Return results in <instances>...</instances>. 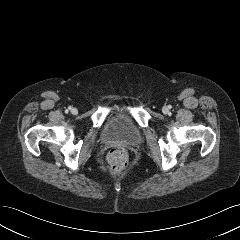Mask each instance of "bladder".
<instances>
[{
    "label": "bladder",
    "mask_w": 240,
    "mask_h": 240,
    "mask_svg": "<svg viewBox=\"0 0 240 240\" xmlns=\"http://www.w3.org/2000/svg\"><path fill=\"white\" fill-rule=\"evenodd\" d=\"M102 137L106 141H119L134 145L141 140L142 132L128 117L116 115L104 127Z\"/></svg>",
    "instance_id": "1"
}]
</instances>
